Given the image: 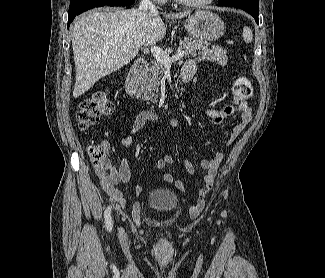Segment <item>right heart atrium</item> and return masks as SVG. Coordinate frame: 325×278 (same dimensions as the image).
Here are the masks:
<instances>
[{
    "instance_id": "d8ad5b80",
    "label": "right heart atrium",
    "mask_w": 325,
    "mask_h": 278,
    "mask_svg": "<svg viewBox=\"0 0 325 278\" xmlns=\"http://www.w3.org/2000/svg\"><path fill=\"white\" fill-rule=\"evenodd\" d=\"M156 1L163 2V1H165V0H156Z\"/></svg>"
}]
</instances>
